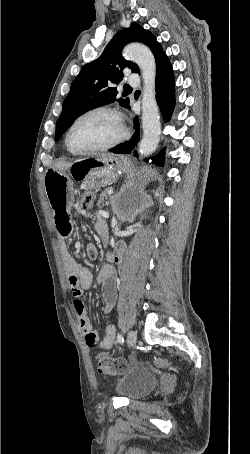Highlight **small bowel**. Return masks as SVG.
I'll return each mask as SVG.
<instances>
[{
	"mask_svg": "<svg viewBox=\"0 0 250 454\" xmlns=\"http://www.w3.org/2000/svg\"><path fill=\"white\" fill-rule=\"evenodd\" d=\"M45 190L53 210L56 229L63 238H66L72 231L69 209L77 193L76 182L70 174L51 171L45 179ZM96 231L102 241L106 242L107 230L104 220L100 219L97 222ZM86 253L88 257L93 259L97 256V249L93 244H88ZM62 256L68 275L71 294L74 297V310L78 319V325L84 335L85 343L89 346L97 345L102 350L111 349L116 336L115 326L113 324L107 325L104 338L98 342V334L92 327L82 298L84 290L89 289L92 285V273L88 268L79 264L68 253L65 247L62 248ZM108 261L110 263L102 267L97 277L102 287L105 313H109L115 305L116 269L111 263H119L120 258L114 253H109Z\"/></svg>",
	"mask_w": 250,
	"mask_h": 454,
	"instance_id": "1",
	"label": "small bowel"
}]
</instances>
